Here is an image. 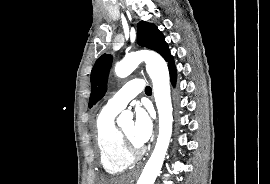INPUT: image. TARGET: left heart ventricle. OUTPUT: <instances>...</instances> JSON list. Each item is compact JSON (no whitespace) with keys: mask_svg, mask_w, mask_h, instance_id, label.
I'll list each match as a JSON object with an SVG mask.
<instances>
[{"mask_svg":"<svg viewBox=\"0 0 270 184\" xmlns=\"http://www.w3.org/2000/svg\"><path fill=\"white\" fill-rule=\"evenodd\" d=\"M121 129L135 144L140 145L134 138V123L132 121L124 123Z\"/></svg>","mask_w":270,"mask_h":184,"instance_id":"1","label":"left heart ventricle"}]
</instances>
